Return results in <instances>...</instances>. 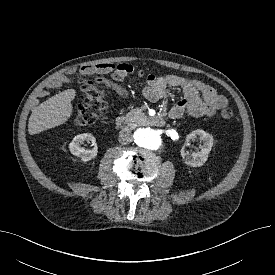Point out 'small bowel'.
<instances>
[{
  "mask_svg": "<svg viewBox=\"0 0 275 275\" xmlns=\"http://www.w3.org/2000/svg\"><path fill=\"white\" fill-rule=\"evenodd\" d=\"M123 70H117L115 65L101 63L83 66L78 70L79 75L108 74L113 73V80H103L102 83L121 96H127L128 92L122 85V81L128 76H137L145 79L144 95L156 102L163 99L168 87L180 88L183 98L180 99L169 110V117L178 119L187 113L194 117H211L217 110L223 109L228 105L227 99L219 94L213 87L198 81L174 74L154 76L145 74L143 71L135 70L131 65L122 64ZM72 80V74L67 73L59 76L53 82L54 87L62 86Z\"/></svg>",
  "mask_w": 275,
  "mask_h": 275,
  "instance_id": "obj_1",
  "label": "small bowel"
}]
</instances>
